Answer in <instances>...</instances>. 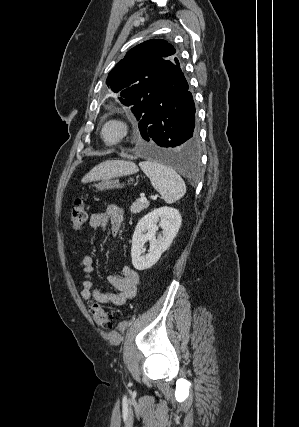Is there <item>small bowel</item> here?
<instances>
[{
  "label": "small bowel",
  "mask_w": 299,
  "mask_h": 427,
  "mask_svg": "<svg viewBox=\"0 0 299 427\" xmlns=\"http://www.w3.org/2000/svg\"><path fill=\"white\" fill-rule=\"evenodd\" d=\"M124 221L123 210L110 204L104 211L95 212L90 216L89 224L93 228L105 229L110 226L111 233L117 235ZM79 268L84 274L81 298L84 301L94 300L100 304L120 306L136 295L139 284V274L129 266L122 269V275H109L108 281L115 291H104L95 288L92 281L93 260L90 256L84 255L79 259Z\"/></svg>",
  "instance_id": "1"
}]
</instances>
